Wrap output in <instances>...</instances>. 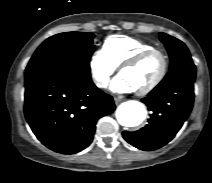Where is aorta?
<instances>
[{"instance_id": "762f6f07", "label": "aorta", "mask_w": 212, "mask_h": 183, "mask_svg": "<svg viewBox=\"0 0 212 183\" xmlns=\"http://www.w3.org/2000/svg\"><path fill=\"white\" fill-rule=\"evenodd\" d=\"M146 113V109L142 103L130 100L118 107L116 118L122 126L136 127L145 120Z\"/></svg>"}]
</instances>
